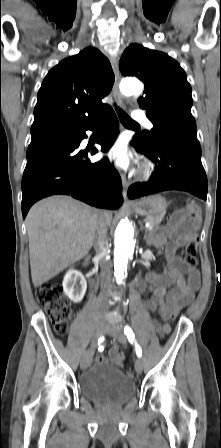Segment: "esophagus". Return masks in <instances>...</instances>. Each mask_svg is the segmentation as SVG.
Here are the masks:
<instances>
[{"mask_svg":"<svg viewBox=\"0 0 221 448\" xmlns=\"http://www.w3.org/2000/svg\"><path fill=\"white\" fill-rule=\"evenodd\" d=\"M111 65H112V69L115 75V82H114V86H113V94L116 98L117 104L118 106H120L121 108L125 109V104L123 102L122 99V95L119 91V82H120V74H119V69H118V64L116 61L115 57H111L110 59ZM122 183H123V196L125 199V203H130V201L126 198L127 195V189L129 187V182L126 179V177L123 175L122 176Z\"/></svg>","mask_w":221,"mask_h":448,"instance_id":"esophagus-1","label":"esophagus"}]
</instances>
